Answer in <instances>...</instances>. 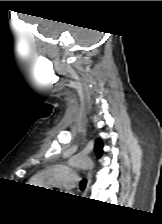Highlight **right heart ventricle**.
Here are the masks:
<instances>
[{"label": "right heart ventricle", "mask_w": 162, "mask_h": 224, "mask_svg": "<svg viewBox=\"0 0 162 224\" xmlns=\"http://www.w3.org/2000/svg\"><path fill=\"white\" fill-rule=\"evenodd\" d=\"M31 184L39 186L42 185L43 184L42 178L41 177L34 178L33 180H31Z\"/></svg>", "instance_id": "obj_1"}]
</instances>
